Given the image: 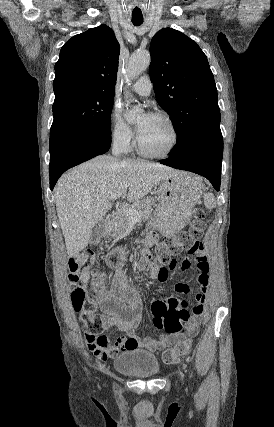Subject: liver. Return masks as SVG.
Instances as JSON below:
<instances>
[{
    "instance_id": "liver-1",
    "label": "liver",
    "mask_w": 274,
    "mask_h": 427,
    "mask_svg": "<svg viewBox=\"0 0 274 427\" xmlns=\"http://www.w3.org/2000/svg\"><path fill=\"white\" fill-rule=\"evenodd\" d=\"M177 170L138 160L97 156L61 176L54 188L57 215L69 257L85 249L92 227L107 214L120 192L128 202H138L159 182Z\"/></svg>"
}]
</instances>
